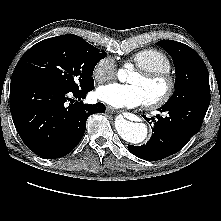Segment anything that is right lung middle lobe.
<instances>
[{
    "label": "right lung middle lobe",
    "instance_id": "1",
    "mask_svg": "<svg viewBox=\"0 0 221 221\" xmlns=\"http://www.w3.org/2000/svg\"><path fill=\"white\" fill-rule=\"evenodd\" d=\"M105 55L79 36L61 35L32 46L14 72L39 76L67 90H89L94 87L93 70Z\"/></svg>",
    "mask_w": 221,
    "mask_h": 221
}]
</instances>
